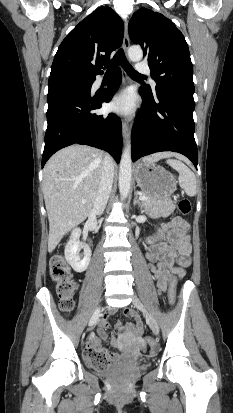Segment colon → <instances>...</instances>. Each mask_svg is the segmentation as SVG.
Here are the masks:
<instances>
[{"label": "colon", "instance_id": "colon-1", "mask_svg": "<svg viewBox=\"0 0 233 413\" xmlns=\"http://www.w3.org/2000/svg\"><path fill=\"white\" fill-rule=\"evenodd\" d=\"M178 211L181 215L186 216L191 211V202L188 199H181L178 202ZM50 276L56 285V291L60 299V308L64 312H69L73 309V297L77 289V284L74 281L71 271L67 266L64 258L60 255L54 256L50 261ZM169 298L172 304L176 301V284L175 281L169 286ZM146 342L149 346L154 343L151 338H147ZM88 362L100 369L107 368L109 356L106 351L95 353L87 358Z\"/></svg>", "mask_w": 233, "mask_h": 413}]
</instances>
